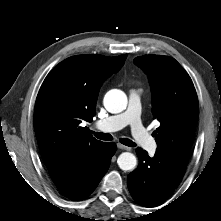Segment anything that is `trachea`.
<instances>
[{"label":"trachea","instance_id":"obj_1","mask_svg":"<svg viewBox=\"0 0 221 221\" xmlns=\"http://www.w3.org/2000/svg\"><path fill=\"white\" fill-rule=\"evenodd\" d=\"M93 134L96 136V138L100 139V140H107V141H110L113 139V137L108 134V133H102V132H93ZM120 142L123 144V145H126L128 147H135L136 144L128 139V138H121L120 139Z\"/></svg>","mask_w":221,"mask_h":221}]
</instances>
